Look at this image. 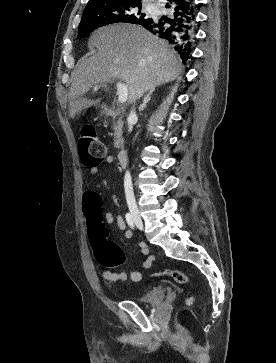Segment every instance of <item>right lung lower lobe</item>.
I'll return each instance as SVG.
<instances>
[{"instance_id": "98d812e1", "label": "right lung lower lobe", "mask_w": 276, "mask_h": 363, "mask_svg": "<svg viewBox=\"0 0 276 363\" xmlns=\"http://www.w3.org/2000/svg\"><path fill=\"white\" fill-rule=\"evenodd\" d=\"M171 15L161 17L156 22H144L142 26L153 34L167 40L177 51L183 61L191 54V44L195 32L194 0H168L165 5Z\"/></svg>"}]
</instances>
